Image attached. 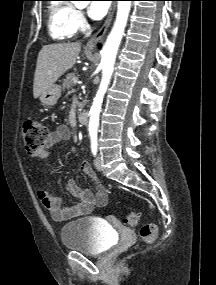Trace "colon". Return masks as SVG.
I'll return each instance as SVG.
<instances>
[{
  "label": "colon",
  "instance_id": "5ec220e1",
  "mask_svg": "<svg viewBox=\"0 0 216 285\" xmlns=\"http://www.w3.org/2000/svg\"><path fill=\"white\" fill-rule=\"evenodd\" d=\"M48 127L37 119H30L23 126V141L28 154L36 157L44 155V149L48 140ZM139 215L130 213L125 218V223L131 228L138 225ZM140 237L146 242L154 241L157 236V226L153 223H146L140 228Z\"/></svg>",
  "mask_w": 216,
  "mask_h": 285
}]
</instances>
